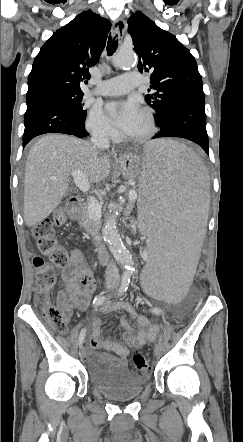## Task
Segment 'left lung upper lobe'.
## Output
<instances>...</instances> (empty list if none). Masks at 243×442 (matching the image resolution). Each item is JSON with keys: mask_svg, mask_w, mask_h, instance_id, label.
<instances>
[{"mask_svg": "<svg viewBox=\"0 0 243 442\" xmlns=\"http://www.w3.org/2000/svg\"><path fill=\"white\" fill-rule=\"evenodd\" d=\"M128 25L134 51L139 56L138 69L141 73H151L150 88L156 92L147 95L146 101L157 112L155 122L165 116L176 98L187 93H204L195 58L174 35L141 12L132 14Z\"/></svg>", "mask_w": 243, "mask_h": 442, "instance_id": "5c2ea615", "label": "left lung upper lobe"}]
</instances>
